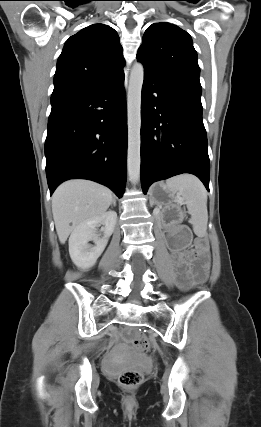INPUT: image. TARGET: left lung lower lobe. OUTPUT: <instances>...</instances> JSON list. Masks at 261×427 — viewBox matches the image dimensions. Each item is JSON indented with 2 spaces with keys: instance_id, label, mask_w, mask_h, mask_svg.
Instances as JSON below:
<instances>
[{
  "instance_id": "0a47b994",
  "label": "left lung lower lobe",
  "mask_w": 261,
  "mask_h": 427,
  "mask_svg": "<svg viewBox=\"0 0 261 427\" xmlns=\"http://www.w3.org/2000/svg\"><path fill=\"white\" fill-rule=\"evenodd\" d=\"M201 85L144 71L141 100V185L191 173L209 191L210 163L202 120Z\"/></svg>"
}]
</instances>
